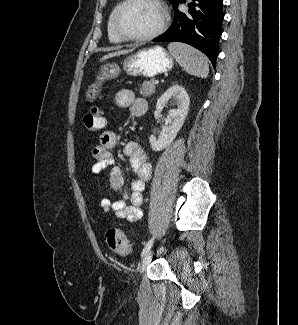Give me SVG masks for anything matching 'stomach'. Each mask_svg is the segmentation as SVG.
<instances>
[{"instance_id":"1","label":"stomach","mask_w":298,"mask_h":325,"mask_svg":"<svg viewBox=\"0 0 298 325\" xmlns=\"http://www.w3.org/2000/svg\"><path fill=\"white\" fill-rule=\"evenodd\" d=\"M174 66V58L169 54L166 48L155 44L148 48H138L131 50V54L125 56L122 62V68L117 62H106L101 66V78H95L88 84L85 90V100L87 102H95L99 98L103 84L112 78H118L122 70H125L129 76H147L154 78L157 74H163L172 70Z\"/></svg>"}]
</instances>
